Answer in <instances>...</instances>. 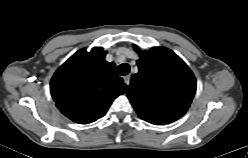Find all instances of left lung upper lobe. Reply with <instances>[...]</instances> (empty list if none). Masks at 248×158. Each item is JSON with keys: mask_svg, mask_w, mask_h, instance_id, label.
I'll list each match as a JSON object with an SVG mask.
<instances>
[{"mask_svg": "<svg viewBox=\"0 0 248 158\" xmlns=\"http://www.w3.org/2000/svg\"><path fill=\"white\" fill-rule=\"evenodd\" d=\"M139 54V72L127 87V96L138 116L155 125L179 119L196 92L193 73L170 49L153 47Z\"/></svg>", "mask_w": 248, "mask_h": 158, "instance_id": "left-lung-upper-lobe-1", "label": "left lung upper lobe"}]
</instances>
